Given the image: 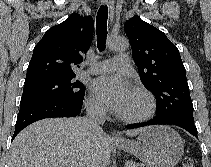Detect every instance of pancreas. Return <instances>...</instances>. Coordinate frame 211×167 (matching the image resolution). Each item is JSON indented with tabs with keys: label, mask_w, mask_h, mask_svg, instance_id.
Returning a JSON list of instances; mask_svg holds the SVG:
<instances>
[{
	"label": "pancreas",
	"mask_w": 211,
	"mask_h": 167,
	"mask_svg": "<svg viewBox=\"0 0 211 167\" xmlns=\"http://www.w3.org/2000/svg\"><path fill=\"white\" fill-rule=\"evenodd\" d=\"M125 167H144V166L138 163H133V162L128 161L126 162Z\"/></svg>",
	"instance_id": "pancreas-1"
}]
</instances>
